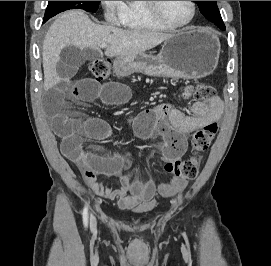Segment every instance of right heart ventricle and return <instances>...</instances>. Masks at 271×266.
Here are the masks:
<instances>
[{
    "mask_svg": "<svg viewBox=\"0 0 271 266\" xmlns=\"http://www.w3.org/2000/svg\"><path fill=\"white\" fill-rule=\"evenodd\" d=\"M122 25L138 31H165L164 27L155 21L145 8L144 1H128L120 16Z\"/></svg>",
    "mask_w": 271,
    "mask_h": 266,
    "instance_id": "1",
    "label": "right heart ventricle"
}]
</instances>
